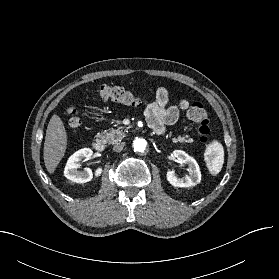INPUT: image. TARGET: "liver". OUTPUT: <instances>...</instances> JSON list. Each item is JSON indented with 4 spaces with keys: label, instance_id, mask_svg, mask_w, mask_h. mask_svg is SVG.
Returning <instances> with one entry per match:
<instances>
[{
    "label": "liver",
    "instance_id": "1",
    "mask_svg": "<svg viewBox=\"0 0 279 279\" xmlns=\"http://www.w3.org/2000/svg\"><path fill=\"white\" fill-rule=\"evenodd\" d=\"M67 147V133L60 117L54 114L47 126L43 157L47 171L53 174Z\"/></svg>",
    "mask_w": 279,
    "mask_h": 279
}]
</instances>
